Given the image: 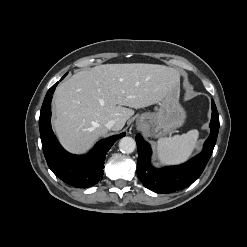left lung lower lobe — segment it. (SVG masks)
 <instances>
[{
    "mask_svg": "<svg viewBox=\"0 0 247 247\" xmlns=\"http://www.w3.org/2000/svg\"><path fill=\"white\" fill-rule=\"evenodd\" d=\"M210 129V136L200 154L182 165L162 169L152 167L150 145L143 140L140 134H137L135 138L138 147L137 175L142 184L157 193H171L192 184L203 172L217 140L219 115L213 100Z\"/></svg>",
    "mask_w": 247,
    "mask_h": 247,
    "instance_id": "0a47b994",
    "label": "left lung lower lobe"
}]
</instances>
